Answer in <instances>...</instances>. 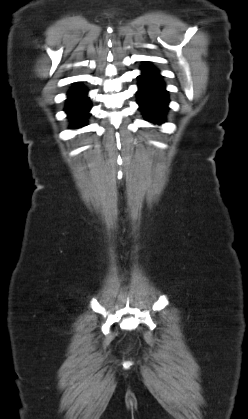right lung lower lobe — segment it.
Returning <instances> with one entry per match:
<instances>
[{"instance_id": "right-lung-lower-lobe-1", "label": "right lung lower lobe", "mask_w": 248, "mask_h": 419, "mask_svg": "<svg viewBox=\"0 0 248 419\" xmlns=\"http://www.w3.org/2000/svg\"><path fill=\"white\" fill-rule=\"evenodd\" d=\"M87 90L81 86H75L68 94L67 107L65 109L68 117L74 123L72 128H79L85 125L86 117L91 108Z\"/></svg>"}]
</instances>
